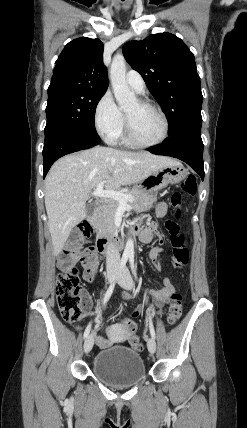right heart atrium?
Here are the masks:
<instances>
[{"instance_id": "1", "label": "right heart atrium", "mask_w": 247, "mask_h": 428, "mask_svg": "<svg viewBox=\"0 0 247 428\" xmlns=\"http://www.w3.org/2000/svg\"><path fill=\"white\" fill-rule=\"evenodd\" d=\"M94 124L97 132L107 141L115 142L124 129V117L110 92H105L94 110Z\"/></svg>"}]
</instances>
